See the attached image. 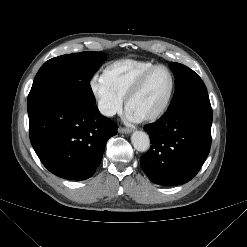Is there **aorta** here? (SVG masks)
<instances>
[{"label": "aorta", "instance_id": "1", "mask_svg": "<svg viewBox=\"0 0 247 247\" xmlns=\"http://www.w3.org/2000/svg\"><path fill=\"white\" fill-rule=\"evenodd\" d=\"M133 147L140 152H145L150 148L149 135L143 131H135L131 136Z\"/></svg>", "mask_w": 247, "mask_h": 247}]
</instances>
